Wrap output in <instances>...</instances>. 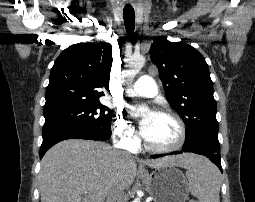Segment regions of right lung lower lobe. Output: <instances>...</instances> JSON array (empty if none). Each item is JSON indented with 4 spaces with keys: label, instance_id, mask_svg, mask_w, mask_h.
<instances>
[{
    "label": "right lung lower lobe",
    "instance_id": "98d812e1",
    "mask_svg": "<svg viewBox=\"0 0 255 202\" xmlns=\"http://www.w3.org/2000/svg\"><path fill=\"white\" fill-rule=\"evenodd\" d=\"M66 139L102 140L101 136L78 125H53L43 128V142L40 148V158L54 144Z\"/></svg>",
    "mask_w": 255,
    "mask_h": 202
}]
</instances>
